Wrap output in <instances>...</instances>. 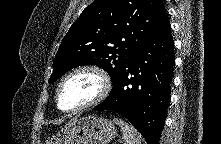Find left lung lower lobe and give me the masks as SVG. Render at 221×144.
<instances>
[{
    "label": "left lung lower lobe",
    "instance_id": "left-lung-lower-lobe-1",
    "mask_svg": "<svg viewBox=\"0 0 221 144\" xmlns=\"http://www.w3.org/2000/svg\"><path fill=\"white\" fill-rule=\"evenodd\" d=\"M174 61V43L166 15L120 71L109 96L94 110L123 115L148 144H159L170 99Z\"/></svg>",
    "mask_w": 221,
    "mask_h": 144
}]
</instances>
